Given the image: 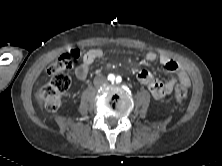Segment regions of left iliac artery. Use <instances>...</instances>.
<instances>
[{"label":"left iliac artery","instance_id":"left-iliac-artery-1","mask_svg":"<svg viewBox=\"0 0 222 166\" xmlns=\"http://www.w3.org/2000/svg\"><path fill=\"white\" fill-rule=\"evenodd\" d=\"M121 80H122V79H121L120 76H118V77L116 78V81H117V82H121Z\"/></svg>","mask_w":222,"mask_h":166}]
</instances>
